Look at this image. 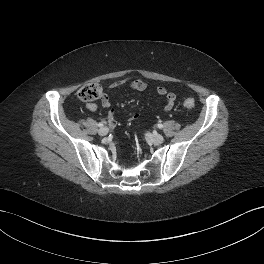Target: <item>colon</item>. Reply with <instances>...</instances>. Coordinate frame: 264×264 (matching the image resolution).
Masks as SVG:
<instances>
[{"mask_svg": "<svg viewBox=\"0 0 264 264\" xmlns=\"http://www.w3.org/2000/svg\"><path fill=\"white\" fill-rule=\"evenodd\" d=\"M103 96L101 85L96 83L87 84L81 87L78 91V98L84 102H92L100 99ZM184 107L192 109L195 106V101L192 98H187L183 103Z\"/></svg>", "mask_w": 264, "mask_h": 264, "instance_id": "colon-1", "label": "colon"}]
</instances>
